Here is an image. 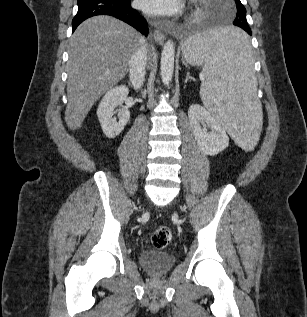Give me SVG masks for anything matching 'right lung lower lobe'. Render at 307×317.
Returning a JSON list of instances; mask_svg holds the SVG:
<instances>
[{
  "label": "right lung lower lobe",
  "instance_id": "98d812e1",
  "mask_svg": "<svg viewBox=\"0 0 307 317\" xmlns=\"http://www.w3.org/2000/svg\"><path fill=\"white\" fill-rule=\"evenodd\" d=\"M78 12L72 20L73 31L84 20L96 15L114 16L147 36L145 19L133 8L130 0H78Z\"/></svg>",
  "mask_w": 307,
  "mask_h": 317
}]
</instances>
